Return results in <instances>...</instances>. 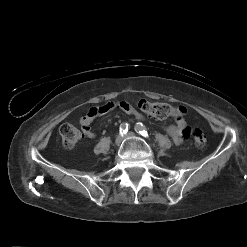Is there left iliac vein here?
<instances>
[{
    "mask_svg": "<svg viewBox=\"0 0 247 247\" xmlns=\"http://www.w3.org/2000/svg\"><path fill=\"white\" fill-rule=\"evenodd\" d=\"M136 134L134 132H128L125 137H135Z\"/></svg>",
    "mask_w": 247,
    "mask_h": 247,
    "instance_id": "left-iliac-vein-1",
    "label": "left iliac vein"
}]
</instances>
